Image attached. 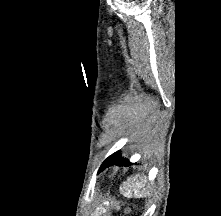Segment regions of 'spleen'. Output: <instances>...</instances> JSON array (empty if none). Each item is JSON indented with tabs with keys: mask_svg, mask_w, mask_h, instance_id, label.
Listing matches in <instances>:
<instances>
[{
	"mask_svg": "<svg viewBox=\"0 0 221 216\" xmlns=\"http://www.w3.org/2000/svg\"><path fill=\"white\" fill-rule=\"evenodd\" d=\"M128 182L130 183L128 186L129 188H127V190L124 192V195L126 197H131V189H133L135 197H142L143 192H141V189H143L145 186L146 177H143L140 182H138L135 177L129 178Z\"/></svg>",
	"mask_w": 221,
	"mask_h": 216,
	"instance_id": "3e777b00",
	"label": "spleen"
}]
</instances>
